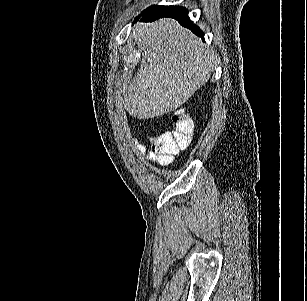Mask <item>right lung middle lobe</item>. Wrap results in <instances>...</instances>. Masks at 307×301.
I'll use <instances>...</instances> for the list:
<instances>
[{
    "label": "right lung middle lobe",
    "instance_id": "right-lung-middle-lobe-1",
    "mask_svg": "<svg viewBox=\"0 0 307 301\" xmlns=\"http://www.w3.org/2000/svg\"><path fill=\"white\" fill-rule=\"evenodd\" d=\"M149 9H151V7L147 8L145 11H143L142 14H144L146 11H148Z\"/></svg>",
    "mask_w": 307,
    "mask_h": 301
}]
</instances>
